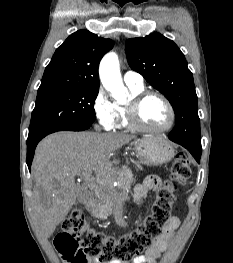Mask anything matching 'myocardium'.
Segmentation results:
<instances>
[{
    "mask_svg": "<svg viewBox=\"0 0 233 263\" xmlns=\"http://www.w3.org/2000/svg\"><path fill=\"white\" fill-rule=\"evenodd\" d=\"M150 96H156L160 98L164 102L165 106L167 107V110L169 112V121L163 127L160 128L148 127L144 125L140 119L139 111L141 105L144 102V100ZM126 115H127L128 124L132 129L142 132H150V133L166 132L173 127L176 120L175 110L170 100L161 92L153 91V90H144L134 95L130 99L129 103L126 105Z\"/></svg>",
    "mask_w": 233,
    "mask_h": 263,
    "instance_id": "myocardium-1",
    "label": "myocardium"
}]
</instances>
